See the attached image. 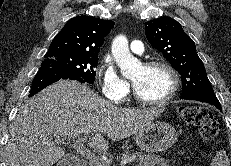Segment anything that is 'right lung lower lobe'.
<instances>
[{"instance_id": "98d812e1", "label": "right lung lower lobe", "mask_w": 231, "mask_h": 166, "mask_svg": "<svg viewBox=\"0 0 231 166\" xmlns=\"http://www.w3.org/2000/svg\"><path fill=\"white\" fill-rule=\"evenodd\" d=\"M60 79H71L86 83V81H84L82 77L66 73L54 68L41 67L32 81L29 97H32L48 85Z\"/></svg>"}]
</instances>
